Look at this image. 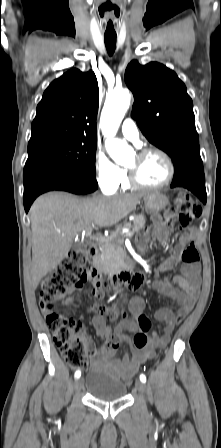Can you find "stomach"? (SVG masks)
<instances>
[{"mask_svg": "<svg viewBox=\"0 0 221 448\" xmlns=\"http://www.w3.org/2000/svg\"><path fill=\"white\" fill-rule=\"evenodd\" d=\"M143 200L145 209L153 213L163 210L169 203L168 197L160 192L149 193L143 198Z\"/></svg>", "mask_w": 221, "mask_h": 448, "instance_id": "0dacf381", "label": "stomach"}]
</instances>
